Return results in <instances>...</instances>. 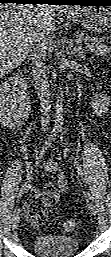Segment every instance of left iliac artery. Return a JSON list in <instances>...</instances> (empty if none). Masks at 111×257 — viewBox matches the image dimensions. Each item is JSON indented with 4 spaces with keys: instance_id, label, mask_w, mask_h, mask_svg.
Here are the masks:
<instances>
[{
    "instance_id": "44dca946",
    "label": "left iliac artery",
    "mask_w": 111,
    "mask_h": 257,
    "mask_svg": "<svg viewBox=\"0 0 111 257\" xmlns=\"http://www.w3.org/2000/svg\"><path fill=\"white\" fill-rule=\"evenodd\" d=\"M60 133H61V138L62 139L65 138V133H64L63 129H60ZM65 142H66V144H68L66 139H65ZM74 163L76 165V168L78 169V173L81 176L83 182L87 184V179L85 178L84 173H83V171H82V169H81V167H80V165H79V163H78L76 158H74Z\"/></svg>"
}]
</instances>
